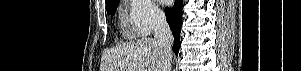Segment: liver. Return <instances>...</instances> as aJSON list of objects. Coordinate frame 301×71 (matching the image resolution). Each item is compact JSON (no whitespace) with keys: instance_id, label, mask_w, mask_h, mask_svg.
I'll return each mask as SVG.
<instances>
[{"instance_id":"liver-1","label":"liver","mask_w":301,"mask_h":71,"mask_svg":"<svg viewBox=\"0 0 301 71\" xmlns=\"http://www.w3.org/2000/svg\"><path fill=\"white\" fill-rule=\"evenodd\" d=\"M164 59L155 39L142 38L106 51L102 56L100 69L101 71H163Z\"/></svg>"}]
</instances>
